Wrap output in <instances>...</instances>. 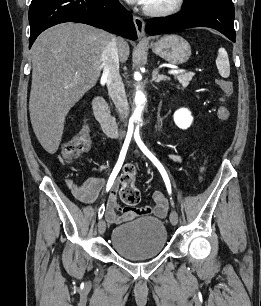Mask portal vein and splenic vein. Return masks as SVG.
<instances>
[{"mask_svg": "<svg viewBox=\"0 0 261 306\" xmlns=\"http://www.w3.org/2000/svg\"><path fill=\"white\" fill-rule=\"evenodd\" d=\"M182 72H183V70H170V71H168L169 74H173V75L180 74Z\"/></svg>", "mask_w": 261, "mask_h": 306, "instance_id": "obj_1", "label": "portal vein and splenic vein"}]
</instances>
